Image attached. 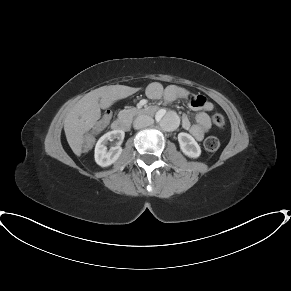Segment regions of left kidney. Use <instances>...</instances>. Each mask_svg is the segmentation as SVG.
<instances>
[{"mask_svg": "<svg viewBox=\"0 0 291 291\" xmlns=\"http://www.w3.org/2000/svg\"><path fill=\"white\" fill-rule=\"evenodd\" d=\"M178 142L181 151L190 158H198L201 154V148L196 140L188 133L178 134Z\"/></svg>", "mask_w": 291, "mask_h": 291, "instance_id": "5707ae66", "label": "left kidney"}]
</instances>
